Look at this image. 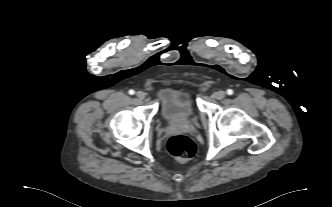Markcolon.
I'll return each mask as SVG.
<instances>
[{"label": "colon", "instance_id": "1", "mask_svg": "<svg viewBox=\"0 0 332 207\" xmlns=\"http://www.w3.org/2000/svg\"><path fill=\"white\" fill-rule=\"evenodd\" d=\"M168 151L179 160H188L195 154L194 142L186 135H174L167 143Z\"/></svg>", "mask_w": 332, "mask_h": 207}]
</instances>
